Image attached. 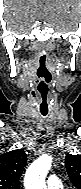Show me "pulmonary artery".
<instances>
[{
    "mask_svg": "<svg viewBox=\"0 0 81 189\" xmlns=\"http://www.w3.org/2000/svg\"><path fill=\"white\" fill-rule=\"evenodd\" d=\"M48 189H63L62 181L55 175H51L47 179Z\"/></svg>",
    "mask_w": 81,
    "mask_h": 189,
    "instance_id": "1",
    "label": "pulmonary artery"
}]
</instances>
